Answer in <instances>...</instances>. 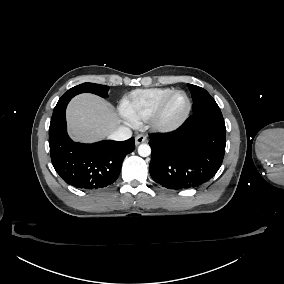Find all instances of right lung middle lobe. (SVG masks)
Here are the masks:
<instances>
[{"mask_svg":"<svg viewBox=\"0 0 284 284\" xmlns=\"http://www.w3.org/2000/svg\"><path fill=\"white\" fill-rule=\"evenodd\" d=\"M108 90H109V87L105 85H99V84H94V83H83V84L77 85L69 89L59 99V101L65 100V99H71L80 93H94L96 95L106 98L108 96Z\"/></svg>","mask_w":284,"mask_h":284,"instance_id":"1","label":"right lung middle lobe"}]
</instances>
